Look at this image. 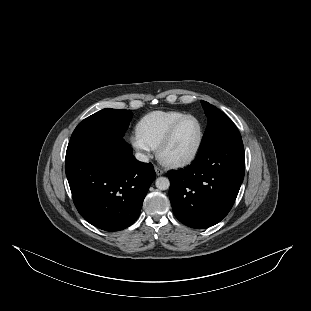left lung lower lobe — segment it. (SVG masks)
<instances>
[{
  "label": "left lung lower lobe",
  "mask_w": 311,
  "mask_h": 311,
  "mask_svg": "<svg viewBox=\"0 0 311 311\" xmlns=\"http://www.w3.org/2000/svg\"><path fill=\"white\" fill-rule=\"evenodd\" d=\"M244 172L241 137L224 140L198 153L191 165L167 173L174 215L192 228L217 224L231 210Z\"/></svg>",
  "instance_id": "obj_1"
}]
</instances>
